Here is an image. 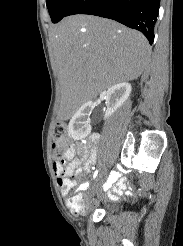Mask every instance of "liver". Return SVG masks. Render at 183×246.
<instances>
[{"label": "liver", "instance_id": "6515ba94", "mask_svg": "<svg viewBox=\"0 0 183 246\" xmlns=\"http://www.w3.org/2000/svg\"><path fill=\"white\" fill-rule=\"evenodd\" d=\"M50 36L66 118L101 91L137 79L150 55L140 32L93 15L66 17Z\"/></svg>", "mask_w": 183, "mask_h": 246}]
</instances>
